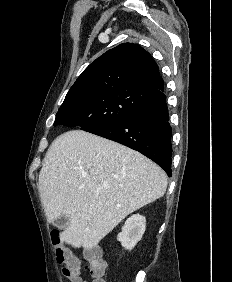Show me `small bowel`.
I'll return each mask as SVG.
<instances>
[{"instance_id":"obj_1","label":"small bowel","mask_w":232,"mask_h":282,"mask_svg":"<svg viewBox=\"0 0 232 282\" xmlns=\"http://www.w3.org/2000/svg\"><path fill=\"white\" fill-rule=\"evenodd\" d=\"M75 256V255H74ZM76 257V256H75ZM72 281V280H71ZM72 282H86L81 277L78 279H74Z\"/></svg>"}]
</instances>
